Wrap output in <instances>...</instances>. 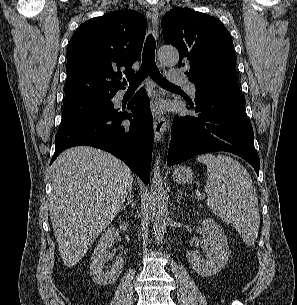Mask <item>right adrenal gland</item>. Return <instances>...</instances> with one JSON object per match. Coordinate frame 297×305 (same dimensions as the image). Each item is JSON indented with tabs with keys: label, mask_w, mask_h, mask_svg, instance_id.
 Here are the masks:
<instances>
[{
	"label": "right adrenal gland",
	"mask_w": 297,
	"mask_h": 305,
	"mask_svg": "<svg viewBox=\"0 0 297 305\" xmlns=\"http://www.w3.org/2000/svg\"><path fill=\"white\" fill-rule=\"evenodd\" d=\"M128 205H130L131 208H134V207H135V204H134V202H133V197H132L131 190L129 191V195H128V198H127V202L122 206V209L124 210Z\"/></svg>",
	"instance_id": "1"
}]
</instances>
